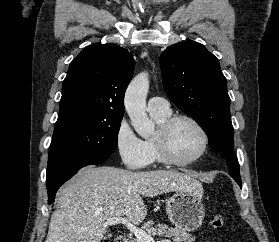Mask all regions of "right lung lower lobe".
Here are the masks:
<instances>
[{
  "label": "right lung lower lobe",
  "instance_id": "98d812e1",
  "mask_svg": "<svg viewBox=\"0 0 279 242\" xmlns=\"http://www.w3.org/2000/svg\"><path fill=\"white\" fill-rule=\"evenodd\" d=\"M110 156L103 154L88 155L80 157L79 159L73 160L63 167L59 168L50 175H46V185L48 191V204L53 203L55 200V194L58 188L74 176L82 167L87 165H96L104 162Z\"/></svg>",
  "mask_w": 279,
  "mask_h": 242
}]
</instances>
